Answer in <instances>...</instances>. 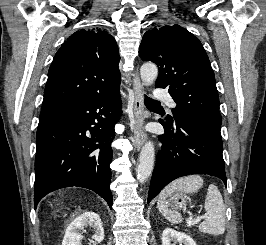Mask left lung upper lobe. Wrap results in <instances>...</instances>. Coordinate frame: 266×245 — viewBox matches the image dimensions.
I'll return each instance as SVG.
<instances>
[{
  "label": "left lung upper lobe",
  "instance_id": "1",
  "mask_svg": "<svg viewBox=\"0 0 266 245\" xmlns=\"http://www.w3.org/2000/svg\"><path fill=\"white\" fill-rule=\"evenodd\" d=\"M139 56L158 66L155 87H169L177 104L173 117H167L169 123L188 115L221 126L214 72L205 49L192 33L179 25L155 27L144 34Z\"/></svg>",
  "mask_w": 266,
  "mask_h": 245
}]
</instances>
